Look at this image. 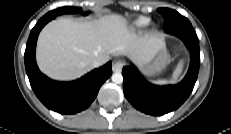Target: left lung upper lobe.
<instances>
[{
  "mask_svg": "<svg viewBox=\"0 0 231 134\" xmlns=\"http://www.w3.org/2000/svg\"><path fill=\"white\" fill-rule=\"evenodd\" d=\"M158 12L164 17V28L166 31L170 30L173 27H176L181 24H189V20L183 16H181L175 10H171L168 8H159Z\"/></svg>",
  "mask_w": 231,
  "mask_h": 134,
  "instance_id": "1",
  "label": "left lung upper lobe"
}]
</instances>
